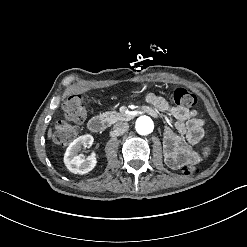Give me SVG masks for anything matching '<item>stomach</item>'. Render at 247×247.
Segmentation results:
<instances>
[{
  "label": "stomach",
  "instance_id": "obj_1",
  "mask_svg": "<svg viewBox=\"0 0 247 247\" xmlns=\"http://www.w3.org/2000/svg\"><path fill=\"white\" fill-rule=\"evenodd\" d=\"M150 87H152L151 84H147V85H146V88H150Z\"/></svg>",
  "mask_w": 247,
  "mask_h": 247
}]
</instances>
